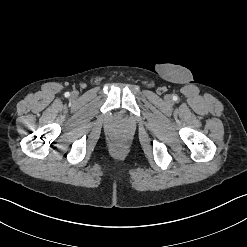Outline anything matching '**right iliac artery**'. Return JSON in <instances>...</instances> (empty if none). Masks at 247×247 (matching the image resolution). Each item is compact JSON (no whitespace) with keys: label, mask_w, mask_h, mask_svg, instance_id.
I'll return each mask as SVG.
<instances>
[{"label":"right iliac artery","mask_w":247,"mask_h":247,"mask_svg":"<svg viewBox=\"0 0 247 247\" xmlns=\"http://www.w3.org/2000/svg\"><path fill=\"white\" fill-rule=\"evenodd\" d=\"M69 95H70L69 92H66V93H65V96H66V97H68Z\"/></svg>","instance_id":"1"}]
</instances>
